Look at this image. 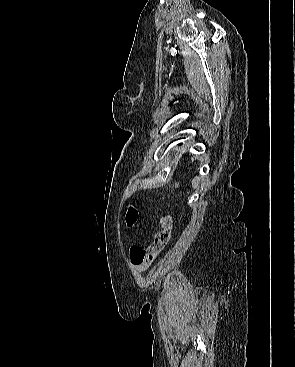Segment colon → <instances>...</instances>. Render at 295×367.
I'll use <instances>...</instances> for the list:
<instances>
[{"label":"colon","instance_id":"colon-1","mask_svg":"<svg viewBox=\"0 0 295 367\" xmlns=\"http://www.w3.org/2000/svg\"><path fill=\"white\" fill-rule=\"evenodd\" d=\"M138 217V212L135 208H129L126 214V222L132 226ZM174 224V218L171 215H166L163 218L161 229L155 234L153 241L147 248L132 246L130 249V259L135 265L151 264L164 251L168 245L171 232Z\"/></svg>","mask_w":295,"mask_h":367}]
</instances>
